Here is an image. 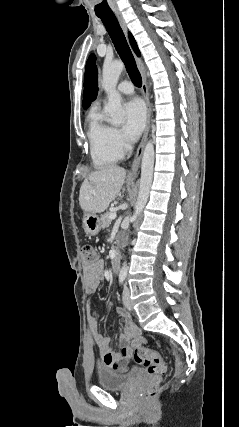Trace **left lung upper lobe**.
<instances>
[{
	"label": "left lung upper lobe",
	"mask_w": 239,
	"mask_h": 427,
	"mask_svg": "<svg viewBox=\"0 0 239 427\" xmlns=\"http://www.w3.org/2000/svg\"><path fill=\"white\" fill-rule=\"evenodd\" d=\"M96 57L91 54L86 63L85 80H84V94H83V108L87 109L91 102L94 101L98 93L97 83V67L95 65Z\"/></svg>",
	"instance_id": "1"
}]
</instances>
